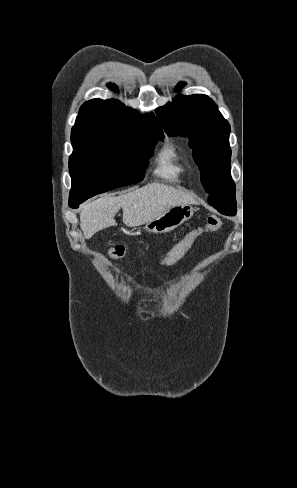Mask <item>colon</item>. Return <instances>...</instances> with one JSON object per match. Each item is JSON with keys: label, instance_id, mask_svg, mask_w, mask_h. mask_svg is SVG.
Listing matches in <instances>:
<instances>
[{"label": "colon", "instance_id": "colon-1", "mask_svg": "<svg viewBox=\"0 0 297 488\" xmlns=\"http://www.w3.org/2000/svg\"><path fill=\"white\" fill-rule=\"evenodd\" d=\"M221 221L215 214H209L207 217L205 227H199L188 232L177 244H175L165 255L160 259V264L163 266H171L180 260L192 248L196 239L205 231L216 230L220 227ZM111 254L116 258H121L125 255L123 246H115L111 249Z\"/></svg>", "mask_w": 297, "mask_h": 488}]
</instances>
